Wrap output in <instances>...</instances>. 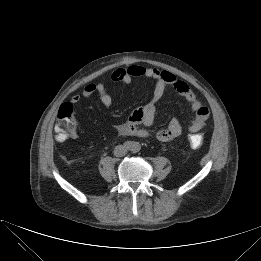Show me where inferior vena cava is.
Here are the masks:
<instances>
[{
  "label": "inferior vena cava",
  "mask_w": 261,
  "mask_h": 261,
  "mask_svg": "<svg viewBox=\"0 0 261 261\" xmlns=\"http://www.w3.org/2000/svg\"><path fill=\"white\" fill-rule=\"evenodd\" d=\"M126 153H127V149H126V147L123 146V145H118V146H116L115 149H114V155H115L116 157H123V156L126 155Z\"/></svg>",
  "instance_id": "obj_1"
}]
</instances>
